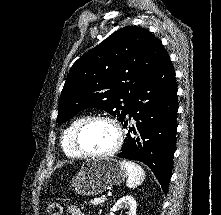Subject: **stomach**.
Segmentation results:
<instances>
[{"label":"stomach","instance_id":"0dacf381","mask_svg":"<svg viewBox=\"0 0 221 215\" xmlns=\"http://www.w3.org/2000/svg\"><path fill=\"white\" fill-rule=\"evenodd\" d=\"M126 175L121 162L113 158L88 160L72 179V186L78 194L98 195L120 184Z\"/></svg>","mask_w":221,"mask_h":215}]
</instances>
